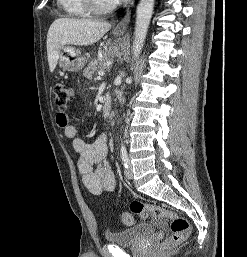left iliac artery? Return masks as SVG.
<instances>
[{
  "instance_id": "44dca946",
  "label": "left iliac artery",
  "mask_w": 247,
  "mask_h": 257,
  "mask_svg": "<svg viewBox=\"0 0 247 257\" xmlns=\"http://www.w3.org/2000/svg\"><path fill=\"white\" fill-rule=\"evenodd\" d=\"M121 158H122L124 167L127 168L129 165V159H128L127 150L123 144L121 145Z\"/></svg>"
}]
</instances>
